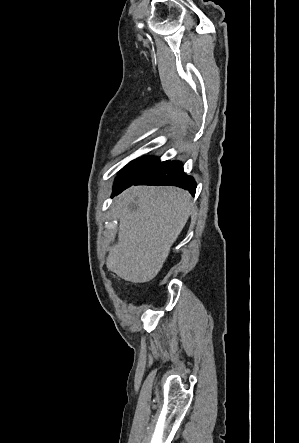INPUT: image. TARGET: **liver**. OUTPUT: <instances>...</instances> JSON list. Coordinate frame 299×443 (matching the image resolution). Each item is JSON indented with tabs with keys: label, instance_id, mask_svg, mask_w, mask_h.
I'll list each match as a JSON object with an SVG mask.
<instances>
[{
	"label": "liver",
	"instance_id": "obj_1",
	"mask_svg": "<svg viewBox=\"0 0 299 443\" xmlns=\"http://www.w3.org/2000/svg\"><path fill=\"white\" fill-rule=\"evenodd\" d=\"M119 208L118 242L109 250L107 268L132 283L149 282L159 273L184 228L192 199L176 187L143 186L128 190Z\"/></svg>",
	"mask_w": 299,
	"mask_h": 443
}]
</instances>
